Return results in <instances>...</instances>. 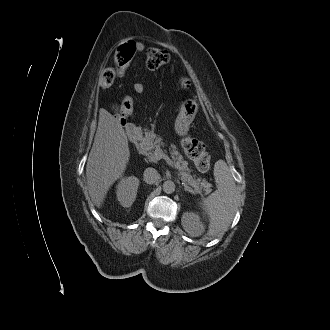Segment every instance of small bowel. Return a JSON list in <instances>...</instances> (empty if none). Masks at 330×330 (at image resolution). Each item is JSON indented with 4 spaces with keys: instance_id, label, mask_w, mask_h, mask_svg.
<instances>
[{
    "instance_id": "c3829d8e",
    "label": "small bowel",
    "mask_w": 330,
    "mask_h": 330,
    "mask_svg": "<svg viewBox=\"0 0 330 330\" xmlns=\"http://www.w3.org/2000/svg\"><path fill=\"white\" fill-rule=\"evenodd\" d=\"M135 43V42H134ZM135 46H136V53L135 55L137 56L141 51H142V45L139 44V43H135ZM136 63V58L134 60L131 61L130 64H128L127 66L125 67H120L117 69V72H116V75L118 78H123L125 77L128 72H129V69ZM144 84L142 82H136L133 86V89L134 91L137 93V94H141L143 93L144 91ZM120 113L121 115H125L127 114V112L123 109V107H120Z\"/></svg>"
}]
</instances>
